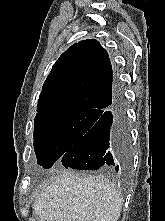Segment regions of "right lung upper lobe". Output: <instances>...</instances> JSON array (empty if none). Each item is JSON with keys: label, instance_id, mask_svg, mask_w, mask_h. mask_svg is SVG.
Here are the masks:
<instances>
[{"label": "right lung upper lobe", "instance_id": "1", "mask_svg": "<svg viewBox=\"0 0 165 221\" xmlns=\"http://www.w3.org/2000/svg\"><path fill=\"white\" fill-rule=\"evenodd\" d=\"M115 84L107 51L95 39L80 41L54 64L43 85L37 111H101L112 101Z\"/></svg>", "mask_w": 165, "mask_h": 221}]
</instances>
